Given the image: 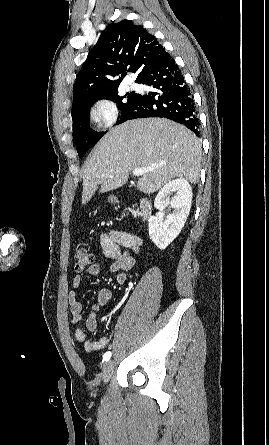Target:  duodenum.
<instances>
[{
    "label": "duodenum",
    "instance_id": "410a0bca",
    "mask_svg": "<svg viewBox=\"0 0 269 445\" xmlns=\"http://www.w3.org/2000/svg\"><path fill=\"white\" fill-rule=\"evenodd\" d=\"M151 212V205L148 200L142 199L140 204V216L142 220H146Z\"/></svg>",
    "mask_w": 269,
    "mask_h": 445
}]
</instances>
